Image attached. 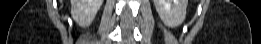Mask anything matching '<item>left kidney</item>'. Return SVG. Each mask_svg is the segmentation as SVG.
Returning <instances> with one entry per match:
<instances>
[{"instance_id":"left-kidney-1","label":"left kidney","mask_w":261,"mask_h":44,"mask_svg":"<svg viewBox=\"0 0 261 44\" xmlns=\"http://www.w3.org/2000/svg\"><path fill=\"white\" fill-rule=\"evenodd\" d=\"M153 1L161 20L166 26L175 28L184 21L188 0Z\"/></svg>"}]
</instances>
